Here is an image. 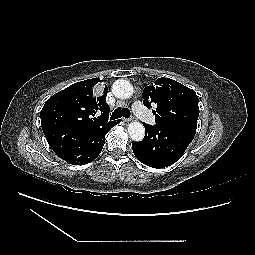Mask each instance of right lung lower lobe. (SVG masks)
Segmentation results:
<instances>
[{"label":"right lung lower lobe","mask_w":255,"mask_h":255,"mask_svg":"<svg viewBox=\"0 0 255 255\" xmlns=\"http://www.w3.org/2000/svg\"><path fill=\"white\" fill-rule=\"evenodd\" d=\"M119 122L120 120H116L109 126L88 132L70 146L60 158L73 165L90 163L101 153L106 133Z\"/></svg>","instance_id":"obj_1"}]
</instances>
